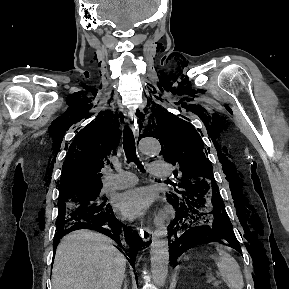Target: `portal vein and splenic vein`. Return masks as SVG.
Returning <instances> with one entry per match:
<instances>
[{"mask_svg":"<svg viewBox=\"0 0 289 289\" xmlns=\"http://www.w3.org/2000/svg\"><path fill=\"white\" fill-rule=\"evenodd\" d=\"M216 281H217V279L213 276H208V278H207V282H209V283L216 282Z\"/></svg>","mask_w":289,"mask_h":289,"instance_id":"obj_1","label":"portal vein and splenic vein"}]
</instances>
